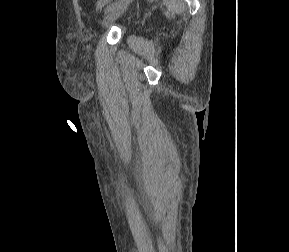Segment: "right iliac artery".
Returning <instances> with one entry per match:
<instances>
[{
	"label": "right iliac artery",
	"mask_w": 289,
	"mask_h": 252,
	"mask_svg": "<svg viewBox=\"0 0 289 252\" xmlns=\"http://www.w3.org/2000/svg\"><path fill=\"white\" fill-rule=\"evenodd\" d=\"M120 3H121V0L110 4L109 6H107V7L105 8V13H108V12L112 11V10L115 9Z\"/></svg>",
	"instance_id": "1"
}]
</instances>
